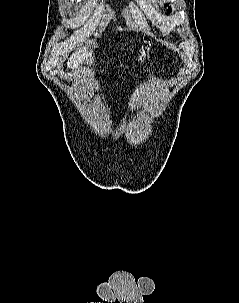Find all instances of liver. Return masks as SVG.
<instances>
[{"label": "liver", "instance_id": "obj_1", "mask_svg": "<svg viewBox=\"0 0 239 303\" xmlns=\"http://www.w3.org/2000/svg\"><path fill=\"white\" fill-rule=\"evenodd\" d=\"M88 49L89 46L85 45L72 53L67 63V69H70L74 74H77L79 69L82 68V64L87 63L88 65H91L93 62L92 50L88 51ZM87 70L89 73L92 72V69L87 68Z\"/></svg>", "mask_w": 239, "mask_h": 303}]
</instances>
